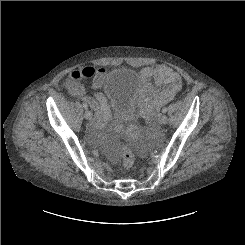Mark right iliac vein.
<instances>
[{"label":"right iliac vein","mask_w":245,"mask_h":245,"mask_svg":"<svg viewBox=\"0 0 245 245\" xmlns=\"http://www.w3.org/2000/svg\"><path fill=\"white\" fill-rule=\"evenodd\" d=\"M85 118L88 119V120H90L92 118V113L89 110H87L85 112Z\"/></svg>","instance_id":"1"}]
</instances>
